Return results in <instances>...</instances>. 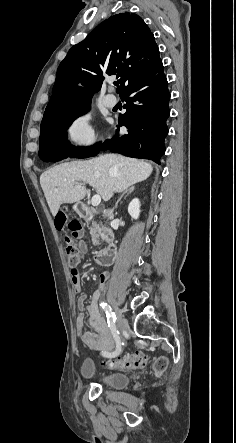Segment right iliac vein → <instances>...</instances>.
I'll use <instances>...</instances> for the list:
<instances>
[{
    "instance_id": "right-iliac-vein-1",
    "label": "right iliac vein",
    "mask_w": 236,
    "mask_h": 443,
    "mask_svg": "<svg viewBox=\"0 0 236 443\" xmlns=\"http://www.w3.org/2000/svg\"><path fill=\"white\" fill-rule=\"evenodd\" d=\"M127 325V321L123 317H119L117 321V326L119 330H123Z\"/></svg>"
}]
</instances>
